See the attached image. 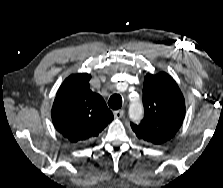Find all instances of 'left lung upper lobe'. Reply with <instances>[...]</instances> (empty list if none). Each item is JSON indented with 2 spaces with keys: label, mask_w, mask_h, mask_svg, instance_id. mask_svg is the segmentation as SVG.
<instances>
[{
  "label": "left lung upper lobe",
  "mask_w": 223,
  "mask_h": 188,
  "mask_svg": "<svg viewBox=\"0 0 223 188\" xmlns=\"http://www.w3.org/2000/svg\"><path fill=\"white\" fill-rule=\"evenodd\" d=\"M144 118L131 123L136 136L153 145L170 140L182 125L185 101L174 79L165 72L148 73L143 86Z\"/></svg>",
  "instance_id": "1"
}]
</instances>
